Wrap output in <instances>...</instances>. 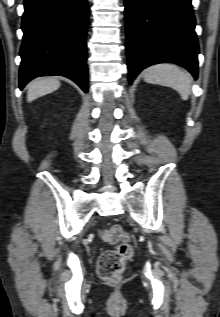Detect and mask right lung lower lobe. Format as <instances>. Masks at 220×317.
<instances>
[{"mask_svg": "<svg viewBox=\"0 0 220 317\" xmlns=\"http://www.w3.org/2000/svg\"><path fill=\"white\" fill-rule=\"evenodd\" d=\"M19 81L22 89L38 76H65L87 93L86 0H25Z\"/></svg>", "mask_w": 220, "mask_h": 317, "instance_id": "98d812e1", "label": "right lung lower lobe"}]
</instances>
